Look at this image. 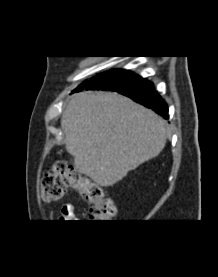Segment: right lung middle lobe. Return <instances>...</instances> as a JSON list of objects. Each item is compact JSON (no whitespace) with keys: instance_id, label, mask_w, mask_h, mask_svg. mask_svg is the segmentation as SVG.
Segmentation results:
<instances>
[{"instance_id":"dd1d6c3e","label":"right lung middle lobe","mask_w":218,"mask_h":277,"mask_svg":"<svg viewBox=\"0 0 218 277\" xmlns=\"http://www.w3.org/2000/svg\"><path fill=\"white\" fill-rule=\"evenodd\" d=\"M102 90H116L131 86L141 80V77L128 70L108 71L97 76Z\"/></svg>"}]
</instances>
